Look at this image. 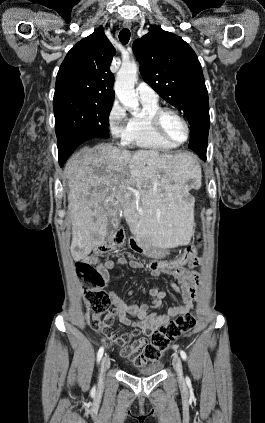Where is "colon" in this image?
Here are the masks:
<instances>
[{
	"label": "colon",
	"instance_id": "5ec220e1",
	"mask_svg": "<svg viewBox=\"0 0 265 423\" xmlns=\"http://www.w3.org/2000/svg\"><path fill=\"white\" fill-rule=\"evenodd\" d=\"M125 240V231L119 229L107 242L95 247L87 257L75 264V271L83 285L84 298L88 304V323L92 329L100 330L108 337L113 336L111 300L102 288L104 280L95 268V264L111 251L122 246ZM198 247V244L189 245L181 256L173 260L153 259L149 262V269L151 271L177 270L193 261L197 255ZM195 324L194 313L187 312L159 327L152 333L151 340L142 345L144 359L150 362L158 360L173 340L191 332ZM141 364V362L137 363V365Z\"/></svg>",
	"mask_w": 265,
	"mask_h": 423
}]
</instances>
